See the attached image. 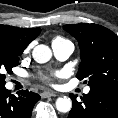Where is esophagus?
Listing matches in <instances>:
<instances>
[{"mask_svg": "<svg viewBox=\"0 0 118 118\" xmlns=\"http://www.w3.org/2000/svg\"><path fill=\"white\" fill-rule=\"evenodd\" d=\"M41 96L43 98H47V97H54V96H57V93L55 92H52V91H44Z\"/></svg>", "mask_w": 118, "mask_h": 118, "instance_id": "34e87169", "label": "esophagus"}]
</instances>
